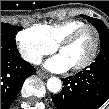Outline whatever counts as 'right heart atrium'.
I'll return each mask as SVG.
<instances>
[{
	"mask_svg": "<svg viewBox=\"0 0 109 109\" xmlns=\"http://www.w3.org/2000/svg\"><path fill=\"white\" fill-rule=\"evenodd\" d=\"M16 42L21 56L32 64L39 63L44 55L56 50V46L39 26L20 31Z\"/></svg>",
	"mask_w": 109,
	"mask_h": 109,
	"instance_id": "obj_1",
	"label": "right heart atrium"
}]
</instances>
